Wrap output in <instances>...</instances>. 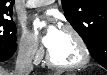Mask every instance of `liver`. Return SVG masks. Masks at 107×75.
Listing matches in <instances>:
<instances>
[{
  "instance_id": "liver-1",
  "label": "liver",
  "mask_w": 107,
  "mask_h": 75,
  "mask_svg": "<svg viewBox=\"0 0 107 75\" xmlns=\"http://www.w3.org/2000/svg\"><path fill=\"white\" fill-rule=\"evenodd\" d=\"M0 75H8V72L3 68L0 69Z\"/></svg>"
}]
</instances>
